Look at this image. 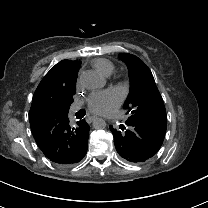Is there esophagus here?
<instances>
[{
    "mask_svg": "<svg viewBox=\"0 0 208 208\" xmlns=\"http://www.w3.org/2000/svg\"><path fill=\"white\" fill-rule=\"evenodd\" d=\"M95 118H96V116H93V115H92V116H89L88 119H87V122H88V123H91V122H93V120H94Z\"/></svg>",
    "mask_w": 208,
    "mask_h": 208,
    "instance_id": "esophagus-1",
    "label": "esophagus"
}]
</instances>
